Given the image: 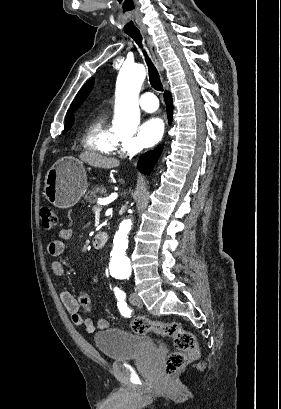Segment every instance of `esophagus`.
<instances>
[{
    "label": "esophagus",
    "mask_w": 281,
    "mask_h": 409,
    "mask_svg": "<svg viewBox=\"0 0 281 409\" xmlns=\"http://www.w3.org/2000/svg\"><path fill=\"white\" fill-rule=\"evenodd\" d=\"M143 34H144V36L146 38V41H147V44L149 46L152 57H153L156 65L158 66L159 70L162 72L163 71V66H162L161 58H160V56L158 54V51H157L156 45H155V43L153 41V38L146 31H144Z\"/></svg>",
    "instance_id": "obj_1"
}]
</instances>
